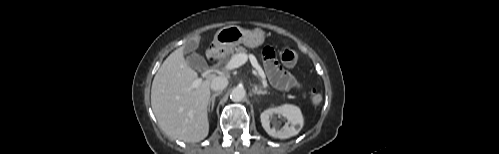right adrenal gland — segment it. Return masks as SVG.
<instances>
[{"label":"right adrenal gland","mask_w":499,"mask_h":154,"mask_svg":"<svg viewBox=\"0 0 499 154\" xmlns=\"http://www.w3.org/2000/svg\"><path fill=\"white\" fill-rule=\"evenodd\" d=\"M221 91L220 92H216L214 94L211 95L210 99H209V102H208V111H213V108H214V102H215V98L219 95H221ZM211 107V109H210Z\"/></svg>","instance_id":"2a0ac1e0"}]
</instances>
